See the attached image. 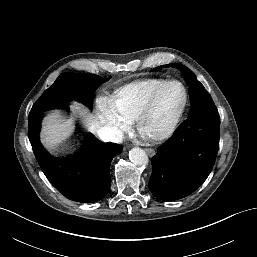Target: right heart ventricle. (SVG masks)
<instances>
[{
  "label": "right heart ventricle",
  "mask_w": 257,
  "mask_h": 257,
  "mask_svg": "<svg viewBox=\"0 0 257 257\" xmlns=\"http://www.w3.org/2000/svg\"><path fill=\"white\" fill-rule=\"evenodd\" d=\"M165 82L166 80L162 78L133 81L118 89L113 101L124 117L133 120L152 93Z\"/></svg>",
  "instance_id": "right-heart-ventricle-1"
}]
</instances>
